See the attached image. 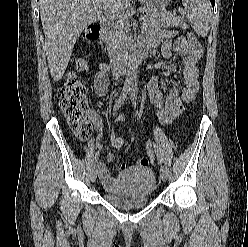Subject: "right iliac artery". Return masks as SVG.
Instances as JSON below:
<instances>
[{
    "label": "right iliac artery",
    "mask_w": 248,
    "mask_h": 247,
    "mask_svg": "<svg viewBox=\"0 0 248 247\" xmlns=\"http://www.w3.org/2000/svg\"><path fill=\"white\" fill-rule=\"evenodd\" d=\"M130 88L128 86H124L123 89H122V92L118 98V100L116 101L114 107H113V114L116 113V111L121 107V105L124 103L126 97H127V94L129 92ZM98 161V153L95 154V157L93 158L92 160V165L95 167V164L97 163Z\"/></svg>",
    "instance_id": "82829eb1"
}]
</instances>
